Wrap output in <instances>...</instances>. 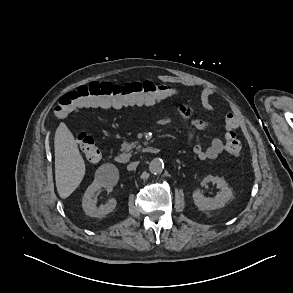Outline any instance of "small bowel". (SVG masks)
I'll use <instances>...</instances> for the list:
<instances>
[{"instance_id": "small-bowel-1", "label": "small bowel", "mask_w": 293, "mask_h": 293, "mask_svg": "<svg viewBox=\"0 0 293 293\" xmlns=\"http://www.w3.org/2000/svg\"><path fill=\"white\" fill-rule=\"evenodd\" d=\"M159 79L162 82L165 83H181L183 85L187 86H192L193 84L187 80L171 76V75H161L159 76ZM214 91L211 88H204L201 91L200 94V99H201V104L203 108L207 111H213L214 107L211 103V97L213 96ZM159 101H144L140 103H135L137 106H153ZM117 108V107H115ZM175 115H178L186 120H188L187 123V132H188V138L189 142L192 146L193 153L202 161H207V160H214L216 159L220 154L223 153L225 150V144L220 138H214L211 143L207 147H203L200 144L194 143V139L196 136V131L198 130H204L206 129L209 125L207 122L194 118L193 117V112L189 107L186 106H179L175 110ZM172 115H165L161 116L156 119V124L158 125H166L173 120Z\"/></svg>"}]
</instances>
